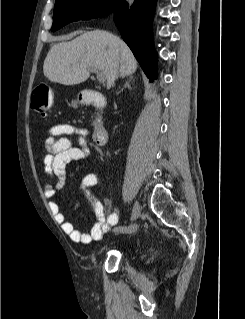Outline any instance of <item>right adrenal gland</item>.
<instances>
[{
    "label": "right adrenal gland",
    "instance_id": "right-adrenal-gland-1",
    "mask_svg": "<svg viewBox=\"0 0 245 319\" xmlns=\"http://www.w3.org/2000/svg\"><path fill=\"white\" fill-rule=\"evenodd\" d=\"M133 76H130L129 78H127L124 87L117 93L119 94L121 91H123V89L128 88V89H132L131 88V83H133Z\"/></svg>",
    "mask_w": 245,
    "mask_h": 319
}]
</instances>
